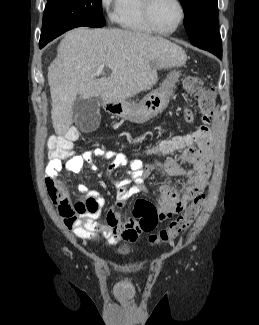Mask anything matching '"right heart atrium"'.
I'll list each match as a JSON object with an SVG mask.
<instances>
[{
    "label": "right heart atrium",
    "mask_w": 259,
    "mask_h": 325,
    "mask_svg": "<svg viewBox=\"0 0 259 325\" xmlns=\"http://www.w3.org/2000/svg\"><path fill=\"white\" fill-rule=\"evenodd\" d=\"M117 1L118 0H100V4L108 15L113 16L117 6Z\"/></svg>",
    "instance_id": "right-heart-atrium-1"
}]
</instances>
